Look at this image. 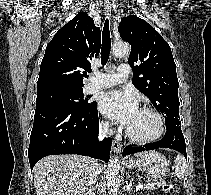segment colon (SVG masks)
<instances>
[{
    "instance_id": "5ec220e1",
    "label": "colon",
    "mask_w": 211,
    "mask_h": 195,
    "mask_svg": "<svg viewBox=\"0 0 211 195\" xmlns=\"http://www.w3.org/2000/svg\"><path fill=\"white\" fill-rule=\"evenodd\" d=\"M162 190L166 195H170L174 192L175 186L173 184H164Z\"/></svg>"
}]
</instances>
